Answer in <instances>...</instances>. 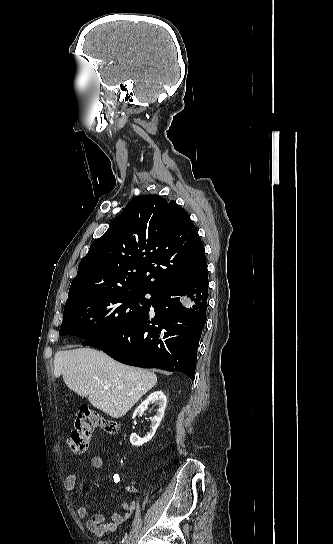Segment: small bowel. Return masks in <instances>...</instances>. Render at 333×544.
I'll return each mask as SVG.
<instances>
[{
    "label": "small bowel",
    "instance_id": "obj_1",
    "mask_svg": "<svg viewBox=\"0 0 333 544\" xmlns=\"http://www.w3.org/2000/svg\"><path fill=\"white\" fill-rule=\"evenodd\" d=\"M103 466V459L100 456H93L90 459V467L93 470H99ZM113 480L116 484L119 483L120 477L115 475ZM77 476L75 473H66L64 476V487L67 491L73 492L76 490ZM125 493L134 496V499L129 502L122 503V512L113 513L110 516V520L106 521L103 514L95 513L88 516V509L86 506L81 505L77 508L76 513L79 518H87L86 526L89 531L98 537H102L107 533L114 532L118 527L127 520L135 510L137 504L136 493L137 489L134 485H125L122 487ZM118 491V488L114 489V492Z\"/></svg>",
    "mask_w": 333,
    "mask_h": 544
}]
</instances>
